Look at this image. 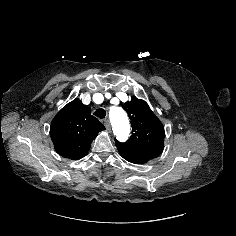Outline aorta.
I'll use <instances>...</instances> for the list:
<instances>
[{"label": "aorta", "instance_id": "762f6f07", "mask_svg": "<svg viewBox=\"0 0 236 236\" xmlns=\"http://www.w3.org/2000/svg\"><path fill=\"white\" fill-rule=\"evenodd\" d=\"M109 116L116 137L121 141H125L130 132L127 114L120 107H112Z\"/></svg>", "mask_w": 236, "mask_h": 236}]
</instances>
